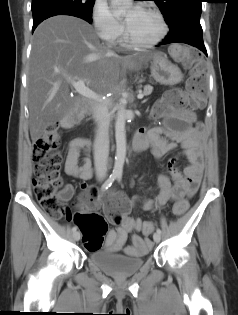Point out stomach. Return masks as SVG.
Instances as JSON below:
<instances>
[{"label":"stomach","mask_w":238,"mask_h":315,"mask_svg":"<svg viewBox=\"0 0 238 315\" xmlns=\"http://www.w3.org/2000/svg\"><path fill=\"white\" fill-rule=\"evenodd\" d=\"M150 70L154 80L163 85L176 84L182 78L179 68L162 53L152 59Z\"/></svg>","instance_id":"obj_1"}]
</instances>
